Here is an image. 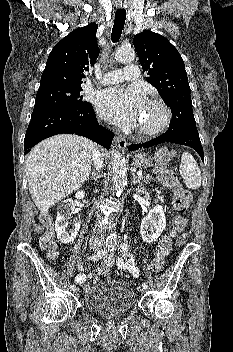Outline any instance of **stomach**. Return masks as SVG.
I'll return each mask as SVG.
<instances>
[{
    "instance_id": "1",
    "label": "stomach",
    "mask_w": 233,
    "mask_h": 352,
    "mask_svg": "<svg viewBox=\"0 0 233 352\" xmlns=\"http://www.w3.org/2000/svg\"><path fill=\"white\" fill-rule=\"evenodd\" d=\"M133 164L138 168H147L152 164V158L145 153H137L133 157Z\"/></svg>"
}]
</instances>
